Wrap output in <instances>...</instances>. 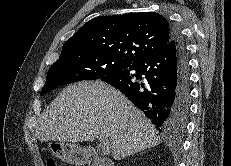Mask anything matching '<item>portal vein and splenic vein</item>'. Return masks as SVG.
I'll list each match as a JSON object with an SVG mask.
<instances>
[{
	"label": "portal vein and splenic vein",
	"instance_id": "portal-vein-and-splenic-vein-1",
	"mask_svg": "<svg viewBox=\"0 0 231 166\" xmlns=\"http://www.w3.org/2000/svg\"><path fill=\"white\" fill-rule=\"evenodd\" d=\"M99 140V146L102 148V152L105 155H108L110 153V143L107 137H104L103 135L98 136Z\"/></svg>",
	"mask_w": 231,
	"mask_h": 166
}]
</instances>
